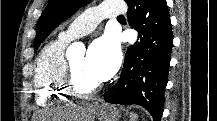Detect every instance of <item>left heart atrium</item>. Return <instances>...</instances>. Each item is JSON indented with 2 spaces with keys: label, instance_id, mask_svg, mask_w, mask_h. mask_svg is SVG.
Masks as SVG:
<instances>
[{
  "label": "left heart atrium",
  "instance_id": "left-heart-atrium-1",
  "mask_svg": "<svg viewBox=\"0 0 217 121\" xmlns=\"http://www.w3.org/2000/svg\"><path fill=\"white\" fill-rule=\"evenodd\" d=\"M86 63L99 82L109 79L120 64V50L116 39L111 34L96 39L88 49Z\"/></svg>",
  "mask_w": 217,
  "mask_h": 121
}]
</instances>
